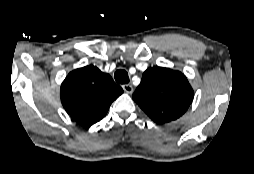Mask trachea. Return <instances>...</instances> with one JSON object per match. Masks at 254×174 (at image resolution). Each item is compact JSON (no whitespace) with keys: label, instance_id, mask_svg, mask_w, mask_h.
I'll list each match as a JSON object with an SVG mask.
<instances>
[{"label":"trachea","instance_id":"trachea-1","mask_svg":"<svg viewBox=\"0 0 254 174\" xmlns=\"http://www.w3.org/2000/svg\"><path fill=\"white\" fill-rule=\"evenodd\" d=\"M115 80L120 84H127L129 82L128 74L123 69H118L114 74Z\"/></svg>","mask_w":254,"mask_h":174}]
</instances>
